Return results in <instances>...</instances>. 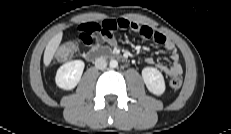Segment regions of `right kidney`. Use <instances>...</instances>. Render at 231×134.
<instances>
[{
    "mask_svg": "<svg viewBox=\"0 0 231 134\" xmlns=\"http://www.w3.org/2000/svg\"><path fill=\"white\" fill-rule=\"evenodd\" d=\"M84 66L85 64L81 60H73L63 64L56 73L57 86L64 90L75 88L81 79Z\"/></svg>",
    "mask_w": 231,
    "mask_h": 134,
    "instance_id": "obj_1",
    "label": "right kidney"
}]
</instances>
